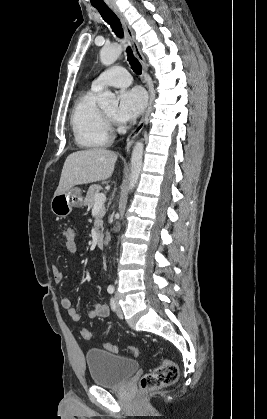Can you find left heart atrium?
<instances>
[{
  "mask_svg": "<svg viewBox=\"0 0 267 419\" xmlns=\"http://www.w3.org/2000/svg\"><path fill=\"white\" fill-rule=\"evenodd\" d=\"M146 96L139 88L124 90L119 96V106L115 118L122 123L135 120L143 111Z\"/></svg>",
  "mask_w": 267,
  "mask_h": 419,
  "instance_id": "obj_1",
  "label": "left heart atrium"
}]
</instances>
